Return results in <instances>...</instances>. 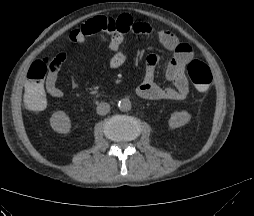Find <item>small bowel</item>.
<instances>
[{
  "label": "small bowel",
  "instance_id": "1",
  "mask_svg": "<svg viewBox=\"0 0 254 216\" xmlns=\"http://www.w3.org/2000/svg\"><path fill=\"white\" fill-rule=\"evenodd\" d=\"M96 33H107L110 36L106 47L113 53L109 61L112 69H119L126 61L122 49L125 34L134 33L156 37L163 47L172 53L166 66L165 76L173 86L162 87L155 83L154 76L160 58L156 54H150L146 59L144 79L137 87L136 94L147 100H183L188 96L189 83L185 75V66L193 57V49L190 44L180 41L175 34L168 30L157 29L149 22L133 20L129 16H121L118 19L106 17L92 19L71 31L68 40L74 43H83L86 38ZM58 57L62 62L66 59V54L60 53ZM58 70H50L45 79L46 92L53 98H61L64 94L57 85ZM71 85L73 87L78 85L74 74L71 76Z\"/></svg>",
  "mask_w": 254,
  "mask_h": 216
}]
</instances>
